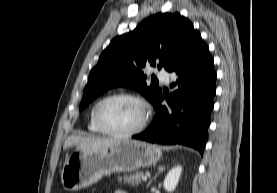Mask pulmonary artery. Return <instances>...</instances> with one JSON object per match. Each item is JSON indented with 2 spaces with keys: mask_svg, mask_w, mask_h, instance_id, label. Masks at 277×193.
<instances>
[{
  "mask_svg": "<svg viewBox=\"0 0 277 193\" xmlns=\"http://www.w3.org/2000/svg\"><path fill=\"white\" fill-rule=\"evenodd\" d=\"M157 77L164 83H169L170 81V74L164 70L159 71Z\"/></svg>",
  "mask_w": 277,
  "mask_h": 193,
  "instance_id": "1",
  "label": "pulmonary artery"
}]
</instances>
